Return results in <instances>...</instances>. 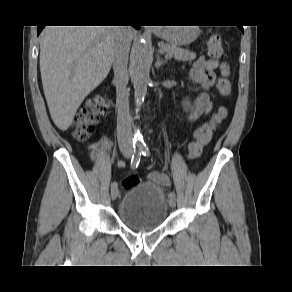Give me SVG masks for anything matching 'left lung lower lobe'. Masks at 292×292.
Instances as JSON below:
<instances>
[{"mask_svg": "<svg viewBox=\"0 0 292 292\" xmlns=\"http://www.w3.org/2000/svg\"><path fill=\"white\" fill-rule=\"evenodd\" d=\"M239 28L241 29L242 32H244V31H243V26H239Z\"/></svg>", "mask_w": 292, "mask_h": 292, "instance_id": "obj_1", "label": "left lung lower lobe"}]
</instances>
